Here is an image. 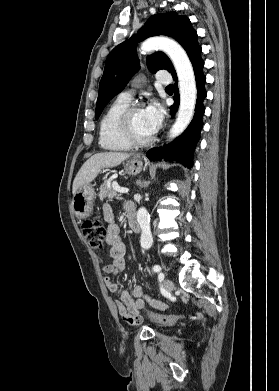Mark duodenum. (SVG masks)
I'll use <instances>...</instances> for the list:
<instances>
[{
  "label": "duodenum",
  "mask_w": 279,
  "mask_h": 391,
  "mask_svg": "<svg viewBox=\"0 0 279 391\" xmlns=\"http://www.w3.org/2000/svg\"><path fill=\"white\" fill-rule=\"evenodd\" d=\"M126 217L129 223L130 228L134 233H139L141 230L140 224L137 219V214L134 206L126 208Z\"/></svg>",
  "instance_id": "obj_1"
}]
</instances>
